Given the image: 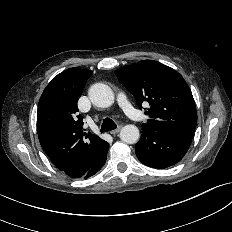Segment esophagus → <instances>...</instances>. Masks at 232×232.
<instances>
[{"instance_id":"1","label":"esophagus","mask_w":232,"mask_h":232,"mask_svg":"<svg viewBox=\"0 0 232 232\" xmlns=\"http://www.w3.org/2000/svg\"><path fill=\"white\" fill-rule=\"evenodd\" d=\"M121 128H122V126H118L116 129L110 131V133H111L112 135H115V134L119 133V131L121 130Z\"/></svg>"}]
</instances>
